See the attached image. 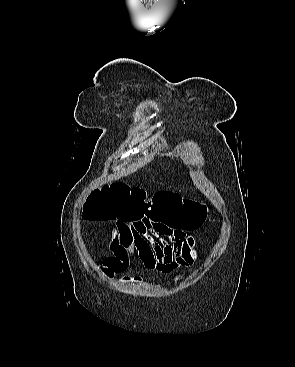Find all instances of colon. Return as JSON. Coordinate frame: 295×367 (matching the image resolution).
Here are the masks:
<instances>
[{"label": "colon", "mask_w": 295, "mask_h": 367, "mask_svg": "<svg viewBox=\"0 0 295 367\" xmlns=\"http://www.w3.org/2000/svg\"><path fill=\"white\" fill-rule=\"evenodd\" d=\"M83 213L89 220H165L192 231L204 223L207 208L200 202L165 191L148 199L142 188L114 183L95 189L87 199Z\"/></svg>", "instance_id": "1"}]
</instances>
